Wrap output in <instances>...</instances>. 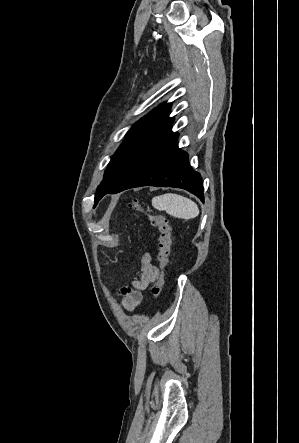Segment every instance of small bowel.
I'll return each instance as SVG.
<instances>
[{
  "label": "small bowel",
  "instance_id": "obj_1",
  "mask_svg": "<svg viewBox=\"0 0 299 443\" xmlns=\"http://www.w3.org/2000/svg\"><path fill=\"white\" fill-rule=\"evenodd\" d=\"M139 276L131 281L129 286H123L119 289V296L122 299V305L125 311L133 312L142 302V292L157 277V269L152 263L150 253L141 256L138 264Z\"/></svg>",
  "mask_w": 299,
  "mask_h": 443
}]
</instances>
